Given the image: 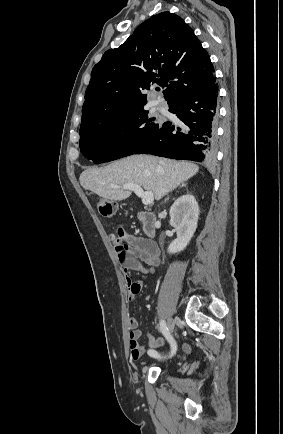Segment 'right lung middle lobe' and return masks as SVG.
I'll return each instance as SVG.
<instances>
[{
    "instance_id": "right-lung-middle-lobe-1",
    "label": "right lung middle lobe",
    "mask_w": 283,
    "mask_h": 434,
    "mask_svg": "<svg viewBox=\"0 0 283 434\" xmlns=\"http://www.w3.org/2000/svg\"><path fill=\"white\" fill-rule=\"evenodd\" d=\"M144 107L112 116L80 130V150L94 163L132 155L159 129Z\"/></svg>"
}]
</instances>
